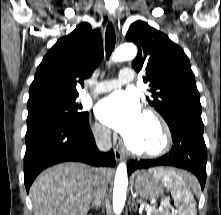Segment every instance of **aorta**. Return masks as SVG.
Listing matches in <instances>:
<instances>
[{"label": "aorta", "mask_w": 221, "mask_h": 215, "mask_svg": "<svg viewBox=\"0 0 221 215\" xmlns=\"http://www.w3.org/2000/svg\"><path fill=\"white\" fill-rule=\"evenodd\" d=\"M137 54V48L132 43L120 45L112 56V61L121 62L133 59ZM128 186L127 166L120 163L117 167L114 188H113V210L115 214H120L126 201V191Z\"/></svg>", "instance_id": "obj_1"}]
</instances>
